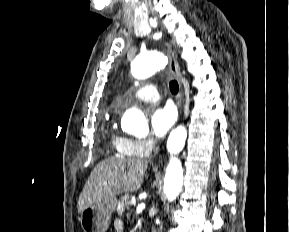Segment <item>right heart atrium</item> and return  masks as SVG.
I'll return each instance as SVG.
<instances>
[{
  "instance_id": "d8ad5b80",
  "label": "right heart atrium",
  "mask_w": 289,
  "mask_h": 232,
  "mask_svg": "<svg viewBox=\"0 0 289 232\" xmlns=\"http://www.w3.org/2000/svg\"><path fill=\"white\" fill-rule=\"evenodd\" d=\"M155 146V141L152 138L129 139L128 147L134 156H147L151 153Z\"/></svg>"
}]
</instances>
